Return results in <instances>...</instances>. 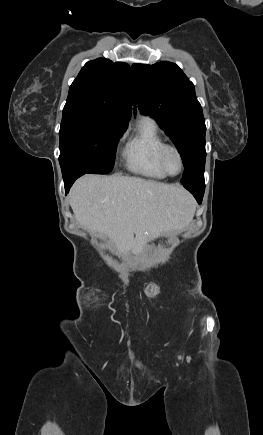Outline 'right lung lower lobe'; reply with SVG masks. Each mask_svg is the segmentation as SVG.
I'll list each match as a JSON object with an SVG mask.
<instances>
[{
    "label": "right lung lower lobe",
    "instance_id": "1",
    "mask_svg": "<svg viewBox=\"0 0 263 435\" xmlns=\"http://www.w3.org/2000/svg\"><path fill=\"white\" fill-rule=\"evenodd\" d=\"M82 175H84V174L83 173H75V174L69 175L68 177L63 178L66 193L69 192V189L71 188V186L75 182V180Z\"/></svg>",
    "mask_w": 263,
    "mask_h": 435
}]
</instances>
